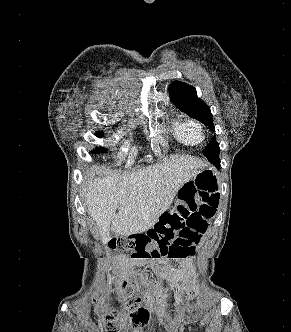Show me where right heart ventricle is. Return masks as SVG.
Masks as SVG:
<instances>
[{
	"label": "right heart ventricle",
	"instance_id": "right-heart-ventricle-1",
	"mask_svg": "<svg viewBox=\"0 0 291 332\" xmlns=\"http://www.w3.org/2000/svg\"><path fill=\"white\" fill-rule=\"evenodd\" d=\"M175 138L185 145H197L203 140L201 126L193 119L176 116L171 125Z\"/></svg>",
	"mask_w": 291,
	"mask_h": 332
}]
</instances>
